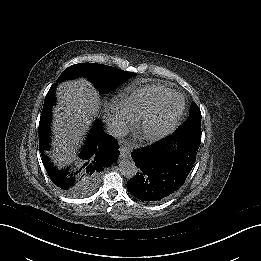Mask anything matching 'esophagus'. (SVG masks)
<instances>
[{
  "mask_svg": "<svg viewBox=\"0 0 261 261\" xmlns=\"http://www.w3.org/2000/svg\"><path fill=\"white\" fill-rule=\"evenodd\" d=\"M120 154L122 158H129L130 149L126 144L120 146Z\"/></svg>",
  "mask_w": 261,
  "mask_h": 261,
  "instance_id": "34e87169",
  "label": "esophagus"
}]
</instances>
